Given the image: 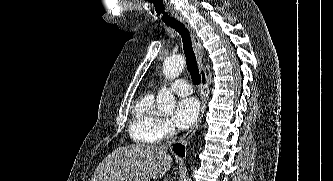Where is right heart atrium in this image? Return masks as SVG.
Wrapping results in <instances>:
<instances>
[{
    "label": "right heart atrium",
    "instance_id": "obj_1",
    "mask_svg": "<svg viewBox=\"0 0 333 181\" xmlns=\"http://www.w3.org/2000/svg\"><path fill=\"white\" fill-rule=\"evenodd\" d=\"M157 132L161 139L170 138L175 134V128L168 119H160Z\"/></svg>",
    "mask_w": 333,
    "mask_h": 181
}]
</instances>
